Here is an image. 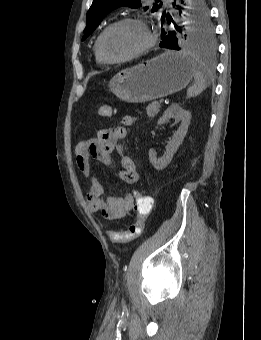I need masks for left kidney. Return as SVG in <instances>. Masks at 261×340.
<instances>
[{
    "instance_id": "left-kidney-1",
    "label": "left kidney",
    "mask_w": 261,
    "mask_h": 340,
    "mask_svg": "<svg viewBox=\"0 0 261 340\" xmlns=\"http://www.w3.org/2000/svg\"><path fill=\"white\" fill-rule=\"evenodd\" d=\"M170 118H175L178 121H181V125L178 130L173 134L172 139L168 142L166 146V151L163 156L157 158L156 153L153 149L149 150V160L150 163L156 170H163L167 167L170 161L173 158V155L176 153L180 144L183 142L184 137L186 136L188 126L191 120V114L189 111H186L180 107L179 104L173 103L163 114V116L158 120L157 125H162Z\"/></svg>"
}]
</instances>
